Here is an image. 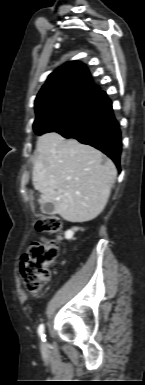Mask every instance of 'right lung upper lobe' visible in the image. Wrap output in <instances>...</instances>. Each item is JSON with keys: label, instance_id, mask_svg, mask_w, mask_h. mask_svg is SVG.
I'll return each mask as SVG.
<instances>
[{"label": "right lung upper lobe", "instance_id": "cb5924a9", "mask_svg": "<svg viewBox=\"0 0 145 385\" xmlns=\"http://www.w3.org/2000/svg\"><path fill=\"white\" fill-rule=\"evenodd\" d=\"M75 90L103 93L92 82L86 66L83 63L71 61L49 75L36 97L35 108L57 95Z\"/></svg>", "mask_w": 145, "mask_h": 385}]
</instances>
